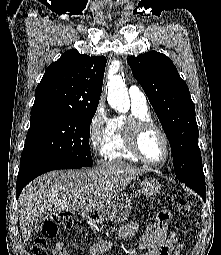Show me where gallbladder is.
I'll list each match as a JSON object with an SVG mask.
<instances>
[{
	"instance_id": "bac80fb5",
	"label": "gallbladder",
	"mask_w": 221,
	"mask_h": 255,
	"mask_svg": "<svg viewBox=\"0 0 221 255\" xmlns=\"http://www.w3.org/2000/svg\"><path fill=\"white\" fill-rule=\"evenodd\" d=\"M46 219H47L46 214L39 215L33 224L32 232L34 233L38 232L40 228L42 227V225L45 223Z\"/></svg>"
}]
</instances>
